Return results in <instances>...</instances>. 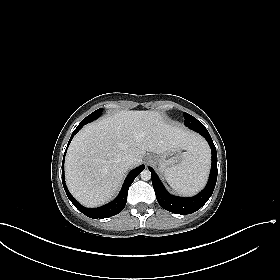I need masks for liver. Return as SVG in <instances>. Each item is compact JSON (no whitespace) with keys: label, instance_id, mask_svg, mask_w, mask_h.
I'll return each mask as SVG.
<instances>
[{"label":"liver","instance_id":"liver-1","mask_svg":"<svg viewBox=\"0 0 280 280\" xmlns=\"http://www.w3.org/2000/svg\"><path fill=\"white\" fill-rule=\"evenodd\" d=\"M206 147L197 134L169 124L155 111L122 110L87 124L72 140L65 159V177L72 195L84 206L97 207L119 190L130 166L141 164L146 151L158 155L170 149L195 152Z\"/></svg>","mask_w":280,"mask_h":280}]
</instances>
